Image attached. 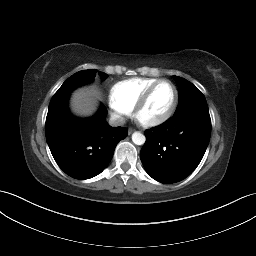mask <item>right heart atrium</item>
I'll list each match as a JSON object with an SVG mask.
<instances>
[{"instance_id":"1","label":"right heart atrium","mask_w":256,"mask_h":256,"mask_svg":"<svg viewBox=\"0 0 256 256\" xmlns=\"http://www.w3.org/2000/svg\"><path fill=\"white\" fill-rule=\"evenodd\" d=\"M112 115L115 119L122 121L130 115V111L123 107H118L111 104Z\"/></svg>"}]
</instances>
